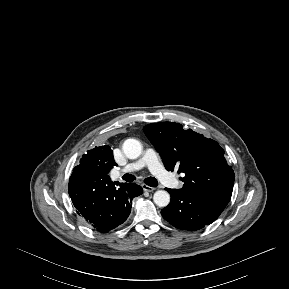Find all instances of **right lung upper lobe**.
I'll return each mask as SVG.
<instances>
[{
    "instance_id": "cb5924a9",
    "label": "right lung upper lobe",
    "mask_w": 289,
    "mask_h": 289,
    "mask_svg": "<svg viewBox=\"0 0 289 289\" xmlns=\"http://www.w3.org/2000/svg\"><path fill=\"white\" fill-rule=\"evenodd\" d=\"M116 166L113 158V151L108 145L95 147L83 155L80 165L74 169L83 173L91 174L106 182H110L113 186L122 185L118 182H112L108 176L109 171Z\"/></svg>"
}]
</instances>
